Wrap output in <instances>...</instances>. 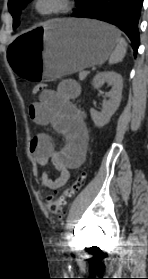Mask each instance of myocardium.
<instances>
[{"instance_id":"myocardium-1","label":"myocardium","mask_w":148,"mask_h":279,"mask_svg":"<svg viewBox=\"0 0 148 279\" xmlns=\"http://www.w3.org/2000/svg\"><path fill=\"white\" fill-rule=\"evenodd\" d=\"M43 0H33L34 12L44 18L57 17L69 12L73 8V0H55L56 4L48 9H42L40 4Z\"/></svg>"}]
</instances>
